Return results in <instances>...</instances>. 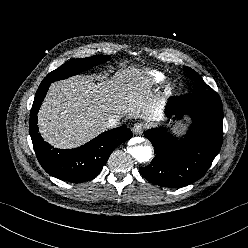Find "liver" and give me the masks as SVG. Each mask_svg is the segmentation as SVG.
Masks as SVG:
<instances>
[{"mask_svg":"<svg viewBox=\"0 0 248 248\" xmlns=\"http://www.w3.org/2000/svg\"><path fill=\"white\" fill-rule=\"evenodd\" d=\"M163 106L150 78L139 69H125L98 82L79 75L51 84L38 126L49 144L68 149L100 134L110 117L154 121L161 117Z\"/></svg>","mask_w":248,"mask_h":248,"instance_id":"liver-1","label":"liver"}]
</instances>
